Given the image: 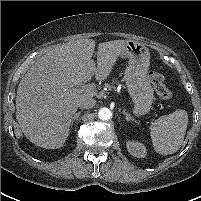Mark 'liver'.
<instances>
[{"mask_svg":"<svg viewBox=\"0 0 201 201\" xmlns=\"http://www.w3.org/2000/svg\"><path fill=\"white\" fill-rule=\"evenodd\" d=\"M126 41L100 43L97 66L92 60L95 41L81 39L56 46L44 54L24 75L17 88L16 116L25 136L35 145L61 147L70 131L73 115L83 97L96 91H77L91 80L110 75Z\"/></svg>","mask_w":201,"mask_h":201,"instance_id":"6515ba94","label":"liver"}]
</instances>
